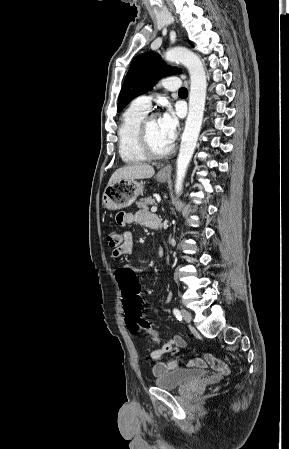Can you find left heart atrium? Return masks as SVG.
Returning <instances> with one entry per match:
<instances>
[{
    "label": "left heart atrium",
    "mask_w": 289,
    "mask_h": 449,
    "mask_svg": "<svg viewBox=\"0 0 289 449\" xmlns=\"http://www.w3.org/2000/svg\"><path fill=\"white\" fill-rule=\"evenodd\" d=\"M159 123L166 136L173 142L177 135L178 120L171 108L164 111L159 118Z\"/></svg>",
    "instance_id": "39dd6f15"
}]
</instances>
